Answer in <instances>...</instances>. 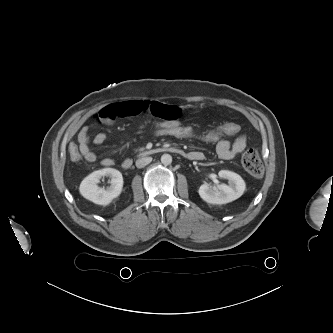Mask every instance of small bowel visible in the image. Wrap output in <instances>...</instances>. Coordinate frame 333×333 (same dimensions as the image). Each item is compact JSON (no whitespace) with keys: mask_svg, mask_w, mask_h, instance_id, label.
<instances>
[{"mask_svg":"<svg viewBox=\"0 0 333 333\" xmlns=\"http://www.w3.org/2000/svg\"><path fill=\"white\" fill-rule=\"evenodd\" d=\"M149 113L159 119V122H180L182 110L174 105L164 104L159 101L150 100H131L120 103L109 104L100 109L94 116L96 124H108L121 117L138 116ZM106 140L104 133H98L93 142L96 145H102ZM78 147L81 155L87 162H95L96 154L91 150L89 143V128L84 126L80 129L77 135ZM245 136H238L234 141L222 139L217 142V155L224 160H230L237 157L246 148ZM191 159L200 160L203 158L201 152L193 151L188 153ZM103 166H112L114 160L106 157L101 160Z\"/></svg>","mask_w":333,"mask_h":333,"instance_id":"small-bowel-1","label":"small bowel"}]
</instances>
